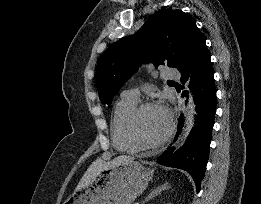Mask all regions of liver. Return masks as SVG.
Returning <instances> with one entry per match:
<instances>
[{
	"mask_svg": "<svg viewBox=\"0 0 261 204\" xmlns=\"http://www.w3.org/2000/svg\"><path fill=\"white\" fill-rule=\"evenodd\" d=\"M134 158L127 156V155H120L115 157L111 161H103L102 159L95 160L84 173L83 177L81 178L80 182L78 183L77 190L83 187H87L90 185L96 178L98 172L103 169H108L111 167H115L121 165L126 162L133 161Z\"/></svg>",
	"mask_w": 261,
	"mask_h": 204,
	"instance_id": "1",
	"label": "liver"
}]
</instances>
